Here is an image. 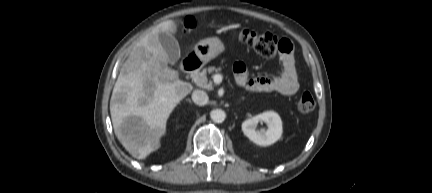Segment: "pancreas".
Returning <instances> with one entry per match:
<instances>
[{
  "mask_svg": "<svg viewBox=\"0 0 432 193\" xmlns=\"http://www.w3.org/2000/svg\"><path fill=\"white\" fill-rule=\"evenodd\" d=\"M220 68H216L214 66H210L208 68H204L201 72H197L193 75L192 79L195 82V84L201 88L212 90L213 89V82L208 79L207 73H218L220 72Z\"/></svg>",
  "mask_w": 432,
  "mask_h": 193,
  "instance_id": "cf45deb5",
  "label": "pancreas"
}]
</instances>
